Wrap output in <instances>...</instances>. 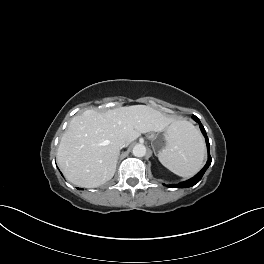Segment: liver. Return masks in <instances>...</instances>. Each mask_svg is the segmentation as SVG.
Instances as JSON below:
<instances>
[{"label": "liver", "instance_id": "liver-1", "mask_svg": "<svg viewBox=\"0 0 264 264\" xmlns=\"http://www.w3.org/2000/svg\"><path fill=\"white\" fill-rule=\"evenodd\" d=\"M172 118L146 105L125 106L105 113L86 110L70 121L63 134L57 161L72 184L95 188L116 171L120 142L128 146L142 133L174 126Z\"/></svg>", "mask_w": 264, "mask_h": 264}]
</instances>
